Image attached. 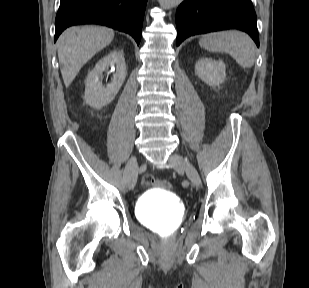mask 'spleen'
<instances>
[{"mask_svg": "<svg viewBox=\"0 0 309 288\" xmlns=\"http://www.w3.org/2000/svg\"><path fill=\"white\" fill-rule=\"evenodd\" d=\"M199 45L212 52L230 54L243 68H251L255 62V46L251 38L243 32L229 30L203 35Z\"/></svg>", "mask_w": 309, "mask_h": 288, "instance_id": "obj_1", "label": "spleen"}]
</instances>
